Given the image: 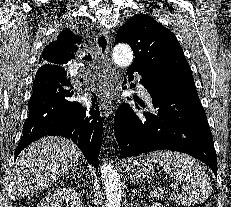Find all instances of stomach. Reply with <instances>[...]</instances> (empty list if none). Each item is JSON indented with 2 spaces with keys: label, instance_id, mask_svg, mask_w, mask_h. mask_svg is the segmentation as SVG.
I'll return each instance as SVG.
<instances>
[{
  "label": "stomach",
  "instance_id": "0dacf381",
  "mask_svg": "<svg viewBox=\"0 0 231 207\" xmlns=\"http://www.w3.org/2000/svg\"><path fill=\"white\" fill-rule=\"evenodd\" d=\"M128 174L130 177L146 180L149 179L154 173V167L147 159H133L127 166Z\"/></svg>",
  "mask_w": 231,
  "mask_h": 207
}]
</instances>
